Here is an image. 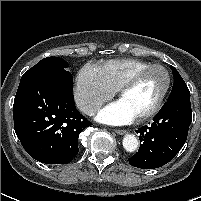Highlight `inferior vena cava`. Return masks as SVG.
<instances>
[{
    "label": "inferior vena cava",
    "mask_w": 201,
    "mask_h": 201,
    "mask_svg": "<svg viewBox=\"0 0 201 201\" xmlns=\"http://www.w3.org/2000/svg\"><path fill=\"white\" fill-rule=\"evenodd\" d=\"M79 108L82 112L91 115L100 109V105L94 103H81Z\"/></svg>",
    "instance_id": "1"
}]
</instances>
